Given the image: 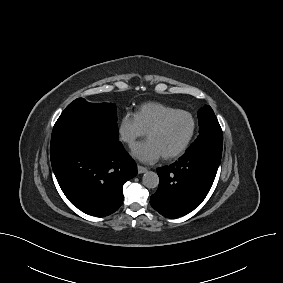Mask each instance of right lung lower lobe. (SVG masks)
<instances>
[{
	"label": "right lung lower lobe",
	"mask_w": 283,
	"mask_h": 283,
	"mask_svg": "<svg viewBox=\"0 0 283 283\" xmlns=\"http://www.w3.org/2000/svg\"><path fill=\"white\" fill-rule=\"evenodd\" d=\"M51 164L68 200L82 212L108 216L123 203V184L137 167L118 139L83 127L52 131Z\"/></svg>",
	"instance_id": "right-lung-lower-lobe-1"
}]
</instances>
